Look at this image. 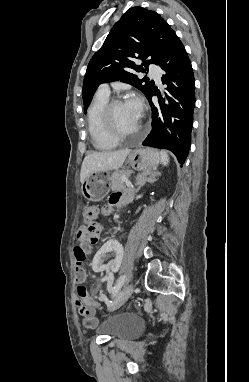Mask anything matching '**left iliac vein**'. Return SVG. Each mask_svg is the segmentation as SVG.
Instances as JSON below:
<instances>
[{"instance_id":"1","label":"left iliac vein","mask_w":249,"mask_h":382,"mask_svg":"<svg viewBox=\"0 0 249 382\" xmlns=\"http://www.w3.org/2000/svg\"><path fill=\"white\" fill-rule=\"evenodd\" d=\"M134 291V285L129 284L126 285L119 293V295L116 297V299L109 305V310L114 311L119 309L131 296V294Z\"/></svg>"}]
</instances>
